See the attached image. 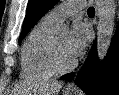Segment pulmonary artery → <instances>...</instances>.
Segmentation results:
<instances>
[{
  "instance_id": "1",
  "label": "pulmonary artery",
  "mask_w": 119,
  "mask_h": 95,
  "mask_svg": "<svg viewBox=\"0 0 119 95\" xmlns=\"http://www.w3.org/2000/svg\"><path fill=\"white\" fill-rule=\"evenodd\" d=\"M84 7L85 2L82 0H68L48 12L46 17L51 21L58 23L81 11Z\"/></svg>"
}]
</instances>
